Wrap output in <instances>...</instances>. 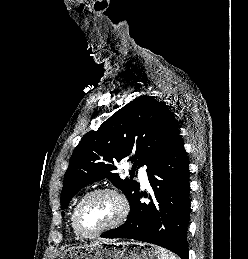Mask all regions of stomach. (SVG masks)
Here are the masks:
<instances>
[{
  "label": "stomach",
  "mask_w": 248,
  "mask_h": 259,
  "mask_svg": "<svg viewBox=\"0 0 248 259\" xmlns=\"http://www.w3.org/2000/svg\"><path fill=\"white\" fill-rule=\"evenodd\" d=\"M58 259H160V248L139 242H108L72 247Z\"/></svg>",
  "instance_id": "stomach-1"
}]
</instances>
